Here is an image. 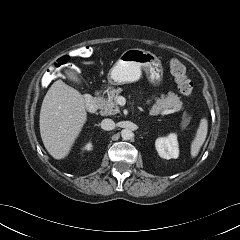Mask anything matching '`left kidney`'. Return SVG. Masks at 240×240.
I'll list each match as a JSON object with an SVG mask.
<instances>
[{
    "instance_id": "left-kidney-1",
    "label": "left kidney",
    "mask_w": 240,
    "mask_h": 240,
    "mask_svg": "<svg viewBox=\"0 0 240 240\" xmlns=\"http://www.w3.org/2000/svg\"><path fill=\"white\" fill-rule=\"evenodd\" d=\"M155 147L161 158L176 159L179 156L177 135L175 133H170L166 137L157 138L155 141Z\"/></svg>"
}]
</instances>
